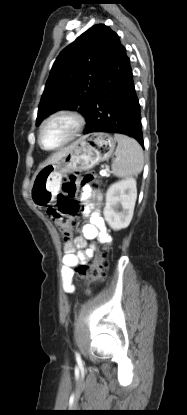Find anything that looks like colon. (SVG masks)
<instances>
[{
	"instance_id": "colon-1",
	"label": "colon",
	"mask_w": 187,
	"mask_h": 415,
	"mask_svg": "<svg viewBox=\"0 0 187 415\" xmlns=\"http://www.w3.org/2000/svg\"><path fill=\"white\" fill-rule=\"evenodd\" d=\"M99 178L92 172L74 175L67 180L58 194L56 207L47 209V214L51 217L64 241H69L73 234L72 220L79 211L77 200L79 186L97 184ZM108 269L105 254H97L92 261L84 266H80L77 271L79 276L89 282L101 281Z\"/></svg>"
}]
</instances>
